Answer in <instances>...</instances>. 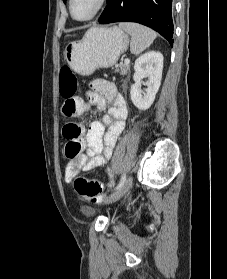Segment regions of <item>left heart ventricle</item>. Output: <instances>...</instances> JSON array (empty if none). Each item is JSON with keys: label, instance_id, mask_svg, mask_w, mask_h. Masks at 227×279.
I'll return each instance as SVG.
<instances>
[{"label": "left heart ventricle", "instance_id": "obj_1", "mask_svg": "<svg viewBox=\"0 0 227 279\" xmlns=\"http://www.w3.org/2000/svg\"><path fill=\"white\" fill-rule=\"evenodd\" d=\"M97 0H73L72 11L75 17L85 18L95 9Z\"/></svg>", "mask_w": 227, "mask_h": 279}]
</instances>
